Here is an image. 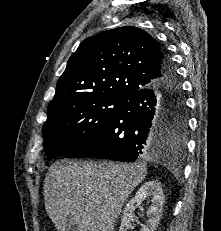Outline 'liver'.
<instances>
[{
  "instance_id": "liver-1",
  "label": "liver",
  "mask_w": 221,
  "mask_h": 231,
  "mask_svg": "<svg viewBox=\"0 0 221 231\" xmlns=\"http://www.w3.org/2000/svg\"><path fill=\"white\" fill-rule=\"evenodd\" d=\"M147 174L145 164L63 160L44 180L46 211L58 231H114L122 206Z\"/></svg>"
}]
</instances>
